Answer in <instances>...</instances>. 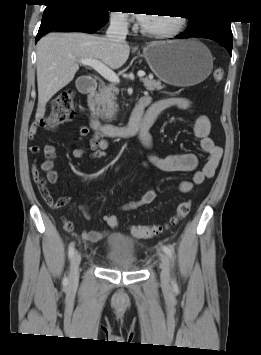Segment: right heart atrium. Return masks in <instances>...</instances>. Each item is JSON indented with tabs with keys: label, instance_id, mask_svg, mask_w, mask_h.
I'll return each instance as SVG.
<instances>
[{
	"label": "right heart atrium",
	"instance_id": "d8ad5b80",
	"mask_svg": "<svg viewBox=\"0 0 261 355\" xmlns=\"http://www.w3.org/2000/svg\"><path fill=\"white\" fill-rule=\"evenodd\" d=\"M110 21L117 28L125 29L129 26L128 14L123 11H112Z\"/></svg>",
	"mask_w": 261,
	"mask_h": 355
}]
</instances>
